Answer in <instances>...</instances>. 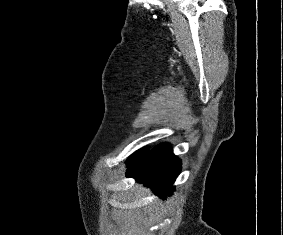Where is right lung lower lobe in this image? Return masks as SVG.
Masks as SVG:
<instances>
[{
  "label": "right lung lower lobe",
  "instance_id": "obj_1",
  "mask_svg": "<svg viewBox=\"0 0 283 235\" xmlns=\"http://www.w3.org/2000/svg\"><path fill=\"white\" fill-rule=\"evenodd\" d=\"M128 176L150 187L162 197L170 195L176 177L180 173V160L176 158L167 143L160 144L141 158L128 163Z\"/></svg>",
  "mask_w": 283,
  "mask_h": 235
}]
</instances>
